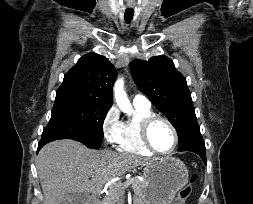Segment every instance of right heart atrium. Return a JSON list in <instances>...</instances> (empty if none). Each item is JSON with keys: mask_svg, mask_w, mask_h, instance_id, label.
Returning a JSON list of instances; mask_svg holds the SVG:
<instances>
[{"mask_svg": "<svg viewBox=\"0 0 253 204\" xmlns=\"http://www.w3.org/2000/svg\"><path fill=\"white\" fill-rule=\"evenodd\" d=\"M122 120L119 112L115 107H111L105 113L102 123L101 130L104 140L108 144H116L121 132Z\"/></svg>", "mask_w": 253, "mask_h": 204, "instance_id": "obj_1", "label": "right heart atrium"}]
</instances>
